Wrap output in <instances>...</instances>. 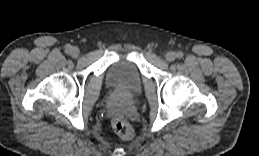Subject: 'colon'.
<instances>
[{
  "instance_id": "obj_1",
  "label": "colon",
  "mask_w": 259,
  "mask_h": 156,
  "mask_svg": "<svg viewBox=\"0 0 259 156\" xmlns=\"http://www.w3.org/2000/svg\"><path fill=\"white\" fill-rule=\"evenodd\" d=\"M113 127L116 133L123 139V140H130L133 135L134 131L131 125L123 118L122 116H117L113 121Z\"/></svg>"
}]
</instances>
